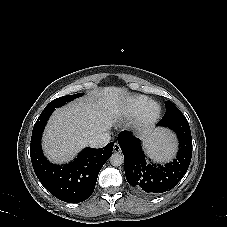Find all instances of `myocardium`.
<instances>
[{
	"label": "myocardium",
	"instance_id": "f54148a6",
	"mask_svg": "<svg viewBox=\"0 0 227 227\" xmlns=\"http://www.w3.org/2000/svg\"><path fill=\"white\" fill-rule=\"evenodd\" d=\"M160 114V106L155 102H149L137 120L138 129H146L151 126L159 119Z\"/></svg>",
	"mask_w": 227,
	"mask_h": 227
}]
</instances>
